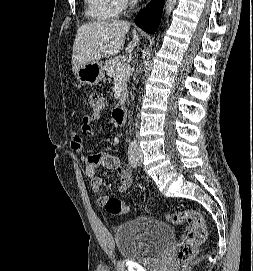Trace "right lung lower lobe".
Wrapping results in <instances>:
<instances>
[{"instance_id":"1","label":"right lung lower lobe","mask_w":253,"mask_h":271,"mask_svg":"<svg viewBox=\"0 0 253 271\" xmlns=\"http://www.w3.org/2000/svg\"><path fill=\"white\" fill-rule=\"evenodd\" d=\"M163 3L164 0H152L146 8L137 15L135 19L136 25L148 33H155L160 24Z\"/></svg>"}]
</instances>
